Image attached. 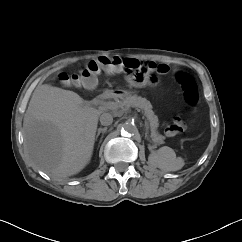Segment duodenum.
<instances>
[{
    "label": "duodenum",
    "mask_w": 242,
    "mask_h": 242,
    "mask_svg": "<svg viewBox=\"0 0 242 242\" xmlns=\"http://www.w3.org/2000/svg\"><path fill=\"white\" fill-rule=\"evenodd\" d=\"M114 95H115L114 92H112V91H106V92H103V93L99 94L97 96V99L98 100H105V99H108V98H110V97H112Z\"/></svg>",
    "instance_id": "duodenum-1"
}]
</instances>
